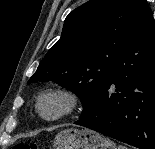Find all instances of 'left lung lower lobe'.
I'll list each match as a JSON object with an SVG mask.
<instances>
[{"label":"left lung lower lobe","mask_w":155,"mask_h":149,"mask_svg":"<svg viewBox=\"0 0 155 149\" xmlns=\"http://www.w3.org/2000/svg\"><path fill=\"white\" fill-rule=\"evenodd\" d=\"M111 84L116 93H110ZM139 149H155V23L152 12L119 51L107 80L75 122Z\"/></svg>","instance_id":"obj_1"}]
</instances>
